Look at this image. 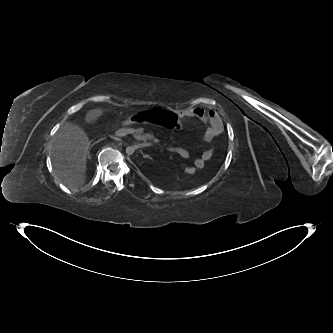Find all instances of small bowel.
Instances as JSON below:
<instances>
[{
    "mask_svg": "<svg viewBox=\"0 0 333 333\" xmlns=\"http://www.w3.org/2000/svg\"><path fill=\"white\" fill-rule=\"evenodd\" d=\"M174 113V112H173ZM178 116V119L182 118H199L204 120L209 124L207 129L203 134V140L205 142H211L213 139L218 138L221 135L222 124L220 117L217 112L212 108H190L182 111L180 114L175 113ZM179 123V122H178ZM172 151L176 153L181 158H189V152L182 147H174ZM214 154V149L209 148L205 150L200 156L196 157L194 160V165L196 168H203L205 163L212 158Z\"/></svg>",
    "mask_w": 333,
    "mask_h": 333,
    "instance_id": "small-bowel-1",
    "label": "small bowel"
}]
</instances>
